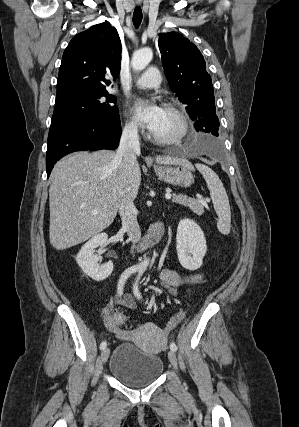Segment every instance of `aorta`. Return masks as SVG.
Masks as SVG:
<instances>
[{
  "instance_id": "aorta-1",
  "label": "aorta",
  "mask_w": 299,
  "mask_h": 427,
  "mask_svg": "<svg viewBox=\"0 0 299 427\" xmlns=\"http://www.w3.org/2000/svg\"><path fill=\"white\" fill-rule=\"evenodd\" d=\"M153 57L151 48H142L135 51L132 57L131 65L135 71H142L150 63ZM150 259L146 258L140 263L142 269H146L149 265Z\"/></svg>"
}]
</instances>
